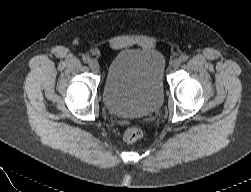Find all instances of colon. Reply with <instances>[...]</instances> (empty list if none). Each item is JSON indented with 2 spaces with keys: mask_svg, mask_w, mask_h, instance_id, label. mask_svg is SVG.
Instances as JSON below:
<instances>
[{
  "mask_svg": "<svg viewBox=\"0 0 251 192\" xmlns=\"http://www.w3.org/2000/svg\"><path fill=\"white\" fill-rule=\"evenodd\" d=\"M143 136V131L138 125H132L125 129L123 139L128 143H133Z\"/></svg>",
  "mask_w": 251,
  "mask_h": 192,
  "instance_id": "5ec220e1",
  "label": "colon"
}]
</instances>
